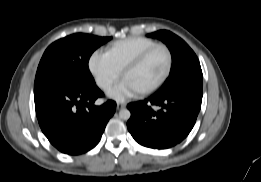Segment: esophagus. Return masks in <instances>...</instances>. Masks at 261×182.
<instances>
[{
  "label": "esophagus",
  "instance_id": "obj_1",
  "mask_svg": "<svg viewBox=\"0 0 261 182\" xmlns=\"http://www.w3.org/2000/svg\"><path fill=\"white\" fill-rule=\"evenodd\" d=\"M116 107H117V110H121V109L126 107V104L125 103H117Z\"/></svg>",
  "mask_w": 261,
  "mask_h": 182
}]
</instances>
